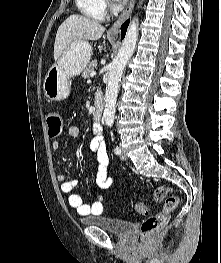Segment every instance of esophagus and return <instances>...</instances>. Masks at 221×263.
<instances>
[{
    "instance_id": "esophagus-1",
    "label": "esophagus",
    "mask_w": 221,
    "mask_h": 263,
    "mask_svg": "<svg viewBox=\"0 0 221 263\" xmlns=\"http://www.w3.org/2000/svg\"><path fill=\"white\" fill-rule=\"evenodd\" d=\"M134 4H135V0H130L129 4L125 8V10L122 12V14L116 20V22L112 25V27L108 30L109 36L118 37L119 32H120V27L123 24V22L128 18L130 13L132 12Z\"/></svg>"
}]
</instances>
